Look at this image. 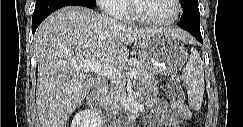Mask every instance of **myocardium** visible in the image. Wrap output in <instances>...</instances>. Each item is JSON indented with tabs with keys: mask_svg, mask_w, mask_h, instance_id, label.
<instances>
[{
	"mask_svg": "<svg viewBox=\"0 0 243 127\" xmlns=\"http://www.w3.org/2000/svg\"><path fill=\"white\" fill-rule=\"evenodd\" d=\"M138 0H130L129 1V12L132 16V18L140 23L143 24H148V25H153V26H168L176 22L181 14V2L180 0H172V3L175 8L174 15L170 17L169 19L165 20H154L147 18L143 16L139 11H138Z\"/></svg>",
	"mask_w": 243,
	"mask_h": 127,
	"instance_id": "f54148a6",
	"label": "myocardium"
}]
</instances>
